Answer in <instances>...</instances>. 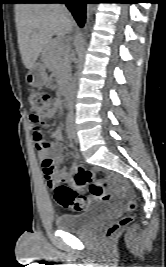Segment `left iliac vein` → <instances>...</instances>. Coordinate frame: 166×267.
<instances>
[{
	"label": "left iliac vein",
	"instance_id": "1",
	"mask_svg": "<svg viewBox=\"0 0 166 267\" xmlns=\"http://www.w3.org/2000/svg\"><path fill=\"white\" fill-rule=\"evenodd\" d=\"M72 131H73L74 139H75V141H77L78 138H77V136H76V130H75V125H74V124H72Z\"/></svg>",
	"mask_w": 166,
	"mask_h": 267
}]
</instances>
